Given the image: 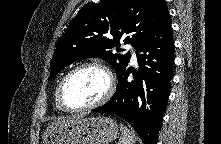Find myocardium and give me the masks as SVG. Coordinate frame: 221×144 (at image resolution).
<instances>
[{
  "label": "myocardium",
  "mask_w": 221,
  "mask_h": 144,
  "mask_svg": "<svg viewBox=\"0 0 221 144\" xmlns=\"http://www.w3.org/2000/svg\"><path fill=\"white\" fill-rule=\"evenodd\" d=\"M84 68H97V69L101 70L106 75V78L108 81L107 90L99 100H97L96 102H94L92 104L82 106V107H72V106L68 105L65 101V98H64L65 87H66V84L68 83V81L70 80V78L76 72H78L79 70L84 69ZM114 90H115V80H114L112 72L108 69V67H106L104 64H102L100 62H96V61L84 62V63L77 65L73 69H71L63 77V79L59 83L58 93H57V101H58L60 108L66 112H82V111H87V110L97 108V107L105 104L112 97Z\"/></svg>",
  "instance_id": "1"
}]
</instances>
